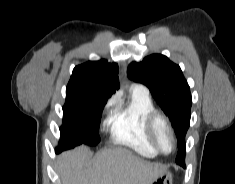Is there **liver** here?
Instances as JSON below:
<instances>
[{
  "instance_id": "6515ba94",
  "label": "liver",
  "mask_w": 235,
  "mask_h": 184,
  "mask_svg": "<svg viewBox=\"0 0 235 184\" xmlns=\"http://www.w3.org/2000/svg\"><path fill=\"white\" fill-rule=\"evenodd\" d=\"M89 156L92 152L86 146L59 156L62 184H152L166 170L163 164L145 162L125 148L101 150L92 166L86 168Z\"/></svg>"
}]
</instances>
